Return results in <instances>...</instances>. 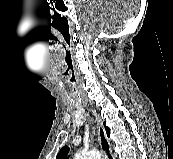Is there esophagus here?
<instances>
[{"label": "esophagus", "mask_w": 173, "mask_h": 159, "mask_svg": "<svg viewBox=\"0 0 173 159\" xmlns=\"http://www.w3.org/2000/svg\"><path fill=\"white\" fill-rule=\"evenodd\" d=\"M92 113L96 118L99 140L101 143V148L105 153V159H115V156L112 153L110 141L106 135V131L102 125L101 119L99 118V116L96 114L95 111L92 110Z\"/></svg>", "instance_id": "esophagus-1"}]
</instances>
